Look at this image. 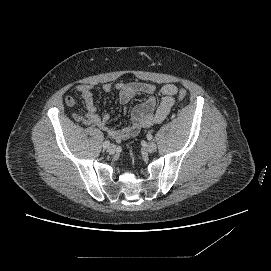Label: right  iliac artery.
Listing matches in <instances>:
<instances>
[{
	"label": "right iliac artery",
	"instance_id": "82829eb1",
	"mask_svg": "<svg viewBox=\"0 0 271 271\" xmlns=\"http://www.w3.org/2000/svg\"><path fill=\"white\" fill-rule=\"evenodd\" d=\"M109 145H110V141H105V142L103 143V147H104V148H108Z\"/></svg>",
	"mask_w": 271,
	"mask_h": 271
}]
</instances>
